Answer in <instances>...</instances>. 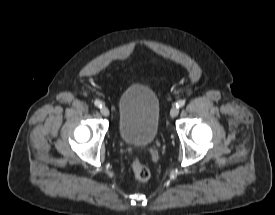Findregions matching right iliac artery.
<instances>
[{"instance_id": "82829eb1", "label": "right iliac artery", "mask_w": 275, "mask_h": 215, "mask_svg": "<svg viewBox=\"0 0 275 215\" xmlns=\"http://www.w3.org/2000/svg\"><path fill=\"white\" fill-rule=\"evenodd\" d=\"M94 104H95V106L98 107V108H101V107H102V102L99 101V100H96V101L94 102Z\"/></svg>"}]
</instances>
